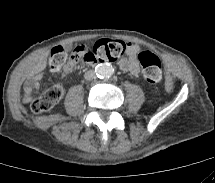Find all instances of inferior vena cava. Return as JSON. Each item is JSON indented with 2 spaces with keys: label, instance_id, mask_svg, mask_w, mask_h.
Wrapping results in <instances>:
<instances>
[{
  "label": "inferior vena cava",
  "instance_id": "inferior-vena-cava-1",
  "mask_svg": "<svg viewBox=\"0 0 215 183\" xmlns=\"http://www.w3.org/2000/svg\"><path fill=\"white\" fill-rule=\"evenodd\" d=\"M95 77H96V72L93 71V70L87 71V72L85 73V79H87V80H92V79H94Z\"/></svg>",
  "mask_w": 215,
  "mask_h": 183
}]
</instances>
